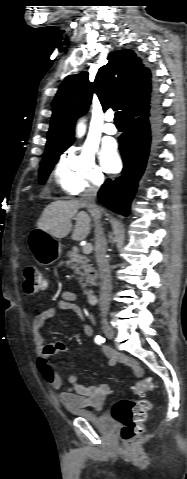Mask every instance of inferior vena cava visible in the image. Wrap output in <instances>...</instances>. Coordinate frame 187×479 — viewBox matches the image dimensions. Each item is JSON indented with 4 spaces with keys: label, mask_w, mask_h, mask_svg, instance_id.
I'll return each mask as SVG.
<instances>
[{
    "label": "inferior vena cava",
    "mask_w": 187,
    "mask_h": 479,
    "mask_svg": "<svg viewBox=\"0 0 187 479\" xmlns=\"http://www.w3.org/2000/svg\"><path fill=\"white\" fill-rule=\"evenodd\" d=\"M100 184L101 182L98 181L93 186L86 189L80 198V202L84 207L87 208L94 220L95 258L100 272V278L102 280L99 305L101 316L106 317L111 301L112 279L111 268L106 258L107 242L100 222L102 213L101 209L95 203V198Z\"/></svg>",
    "instance_id": "1"
}]
</instances>
